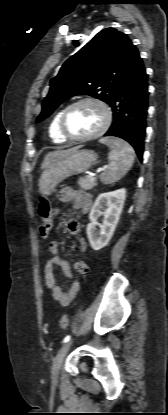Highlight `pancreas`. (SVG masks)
I'll list each match as a JSON object with an SVG mask.
<instances>
[{"mask_svg": "<svg viewBox=\"0 0 168 415\" xmlns=\"http://www.w3.org/2000/svg\"><path fill=\"white\" fill-rule=\"evenodd\" d=\"M96 182H97L96 178H90L89 176H87L84 178H80L78 180V185L83 190H91L93 187L97 185Z\"/></svg>", "mask_w": 168, "mask_h": 415, "instance_id": "cf45deb5", "label": "pancreas"}]
</instances>
